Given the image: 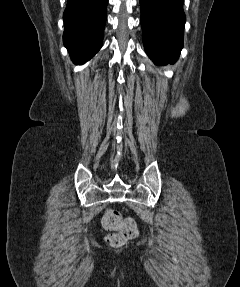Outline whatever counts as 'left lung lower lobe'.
<instances>
[{
	"instance_id": "left-lung-lower-lobe-1",
	"label": "left lung lower lobe",
	"mask_w": 240,
	"mask_h": 287,
	"mask_svg": "<svg viewBox=\"0 0 240 287\" xmlns=\"http://www.w3.org/2000/svg\"><path fill=\"white\" fill-rule=\"evenodd\" d=\"M143 43L156 63L174 62L183 47V0H140Z\"/></svg>"
}]
</instances>
